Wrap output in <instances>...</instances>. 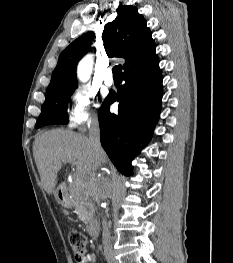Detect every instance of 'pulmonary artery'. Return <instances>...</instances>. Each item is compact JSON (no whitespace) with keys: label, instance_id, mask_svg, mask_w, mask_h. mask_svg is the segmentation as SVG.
Segmentation results:
<instances>
[{"label":"pulmonary artery","instance_id":"obj_1","mask_svg":"<svg viewBox=\"0 0 233 263\" xmlns=\"http://www.w3.org/2000/svg\"><path fill=\"white\" fill-rule=\"evenodd\" d=\"M103 80H104V83L107 86H112L113 85L114 80H113V77H112V70H110V69L106 70Z\"/></svg>","mask_w":233,"mask_h":263}]
</instances>
